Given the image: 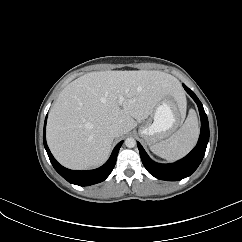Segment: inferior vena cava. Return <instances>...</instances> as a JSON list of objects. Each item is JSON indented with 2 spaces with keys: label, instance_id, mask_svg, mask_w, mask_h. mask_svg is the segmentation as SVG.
<instances>
[{
  "label": "inferior vena cava",
  "instance_id": "inferior-vena-cava-1",
  "mask_svg": "<svg viewBox=\"0 0 242 242\" xmlns=\"http://www.w3.org/2000/svg\"><path fill=\"white\" fill-rule=\"evenodd\" d=\"M110 133H111V135H112L113 137H119V136L122 135L123 130H122V128H121L120 126H118V125H113V126H111V128H110Z\"/></svg>",
  "mask_w": 242,
  "mask_h": 242
}]
</instances>
